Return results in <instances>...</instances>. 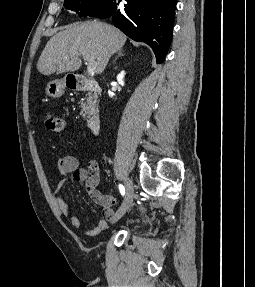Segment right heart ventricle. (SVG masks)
Here are the masks:
<instances>
[{
  "label": "right heart ventricle",
  "instance_id": "right-heart-ventricle-1",
  "mask_svg": "<svg viewBox=\"0 0 255 287\" xmlns=\"http://www.w3.org/2000/svg\"><path fill=\"white\" fill-rule=\"evenodd\" d=\"M125 48H136V47H125Z\"/></svg>",
  "mask_w": 255,
  "mask_h": 287
}]
</instances>
